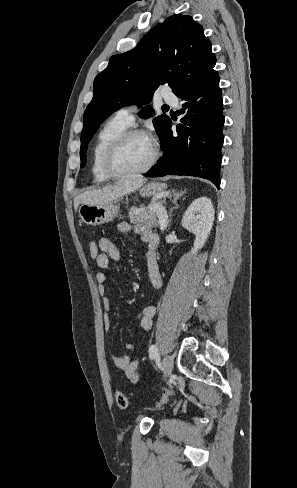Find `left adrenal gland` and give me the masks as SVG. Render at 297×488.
Returning a JSON list of instances; mask_svg holds the SVG:
<instances>
[{
	"instance_id": "obj_1",
	"label": "left adrenal gland",
	"mask_w": 297,
	"mask_h": 488,
	"mask_svg": "<svg viewBox=\"0 0 297 488\" xmlns=\"http://www.w3.org/2000/svg\"><path fill=\"white\" fill-rule=\"evenodd\" d=\"M184 193H185V191H182V192L179 193V192H176L175 190H172L171 197L173 198L172 199V202L175 205V207H173V208H176L178 206L177 201L180 198V196H182ZM173 208L170 209V212H169V217L170 218H169L168 222L171 221V213H172Z\"/></svg>"
}]
</instances>
